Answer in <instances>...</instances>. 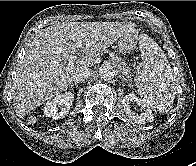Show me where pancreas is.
<instances>
[{"label": "pancreas", "instance_id": "cf45deb5", "mask_svg": "<svg viewBox=\"0 0 196 166\" xmlns=\"http://www.w3.org/2000/svg\"><path fill=\"white\" fill-rule=\"evenodd\" d=\"M115 63L117 64V66L119 67V69L122 71V73L127 77L130 78L131 77V73H130V69L129 67H127L125 65L124 62L120 61V60H115Z\"/></svg>", "mask_w": 196, "mask_h": 166}]
</instances>
